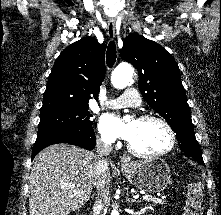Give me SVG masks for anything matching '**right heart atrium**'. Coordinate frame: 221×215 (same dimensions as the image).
I'll return each mask as SVG.
<instances>
[{
    "label": "right heart atrium",
    "mask_w": 221,
    "mask_h": 215,
    "mask_svg": "<svg viewBox=\"0 0 221 215\" xmlns=\"http://www.w3.org/2000/svg\"><path fill=\"white\" fill-rule=\"evenodd\" d=\"M98 140L100 143H103V144H110L112 142L111 139H108L105 136L99 137Z\"/></svg>",
    "instance_id": "right-heart-atrium-1"
}]
</instances>
